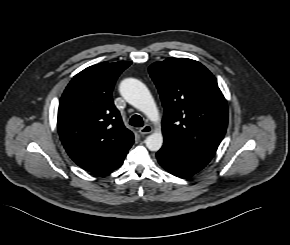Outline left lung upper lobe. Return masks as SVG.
<instances>
[{
  "label": "left lung upper lobe",
  "instance_id": "left-lung-upper-lobe-1",
  "mask_svg": "<svg viewBox=\"0 0 290 245\" xmlns=\"http://www.w3.org/2000/svg\"><path fill=\"white\" fill-rule=\"evenodd\" d=\"M149 73L164 107V142L212 158L228 123L227 103L215 77L186 58L155 62Z\"/></svg>",
  "mask_w": 290,
  "mask_h": 245
}]
</instances>
